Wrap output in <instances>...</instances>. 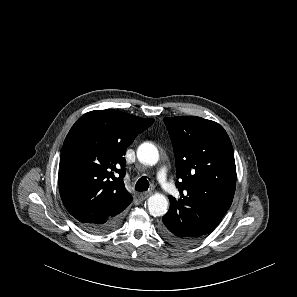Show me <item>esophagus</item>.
I'll return each instance as SVG.
<instances>
[{"mask_svg": "<svg viewBox=\"0 0 297 297\" xmlns=\"http://www.w3.org/2000/svg\"><path fill=\"white\" fill-rule=\"evenodd\" d=\"M152 192L147 191L139 194V198L141 200H146L149 196H151Z\"/></svg>", "mask_w": 297, "mask_h": 297, "instance_id": "esophagus-1", "label": "esophagus"}]
</instances>
